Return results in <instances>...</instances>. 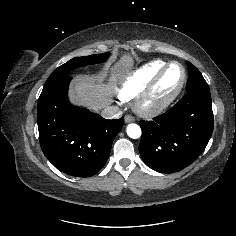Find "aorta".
I'll list each match as a JSON object with an SVG mask.
<instances>
[{
  "instance_id": "obj_1",
  "label": "aorta",
  "mask_w": 236,
  "mask_h": 236,
  "mask_svg": "<svg viewBox=\"0 0 236 236\" xmlns=\"http://www.w3.org/2000/svg\"><path fill=\"white\" fill-rule=\"evenodd\" d=\"M127 135L132 139H138L141 136V128L139 125L131 123L126 128Z\"/></svg>"
}]
</instances>
